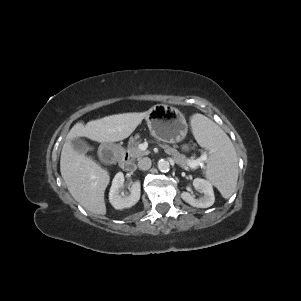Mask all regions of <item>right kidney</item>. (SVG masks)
Here are the masks:
<instances>
[{"instance_id":"ca27d5eb","label":"right kidney","mask_w":301,"mask_h":301,"mask_svg":"<svg viewBox=\"0 0 301 301\" xmlns=\"http://www.w3.org/2000/svg\"><path fill=\"white\" fill-rule=\"evenodd\" d=\"M124 175L118 172L113 181L109 192V201L116 210H122L134 206L140 199V182H135L130 188V195L121 192L124 184Z\"/></svg>"}]
</instances>
